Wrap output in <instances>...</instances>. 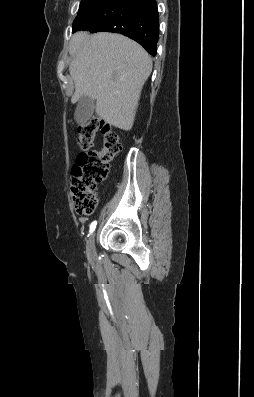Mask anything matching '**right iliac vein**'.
I'll list each match as a JSON object with an SVG mask.
<instances>
[{
  "mask_svg": "<svg viewBox=\"0 0 254 397\" xmlns=\"http://www.w3.org/2000/svg\"><path fill=\"white\" fill-rule=\"evenodd\" d=\"M87 254L90 259L95 257V233L91 234L87 243Z\"/></svg>",
  "mask_w": 254,
  "mask_h": 397,
  "instance_id": "63e3f726",
  "label": "right iliac vein"
}]
</instances>
